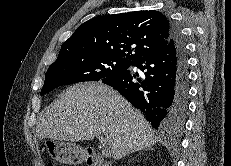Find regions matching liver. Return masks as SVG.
<instances>
[{
  "mask_svg": "<svg viewBox=\"0 0 231 166\" xmlns=\"http://www.w3.org/2000/svg\"><path fill=\"white\" fill-rule=\"evenodd\" d=\"M103 134L115 160L157 143L143 114L118 92L99 82L70 86L40 115L39 139L78 142Z\"/></svg>",
  "mask_w": 231,
  "mask_h": 166,
  "instance_id": "liver-1",
  "label": "liver"
}]
</instances>
